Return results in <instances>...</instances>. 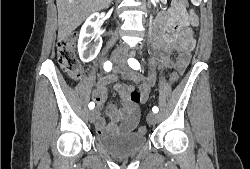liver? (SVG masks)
<instances>
[{"instance_id": "1", "label": "liver", "mask_w": 250, "mask_h": 169, "mask_svg": "<svg viewBox=\"0 0 250 169\" xmlns=\"http://www.w3.org/2000/svg\"><path fill=\"white\" fill-rule=\"evenodd\" d=\"M111 0H56L58 10V38H68L84 18L105 8Z\"/></svg>"}]
</instances>
